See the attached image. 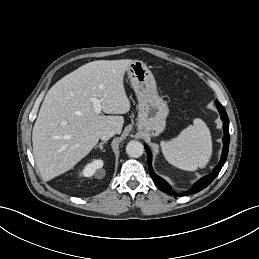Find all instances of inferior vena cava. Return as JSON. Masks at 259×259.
Wrapping results in <instances>:
<instances>
[{
    "mask_svg": "<svg viewBox=\"0 0 259 259\" xmlns=\"http://www.w3.org/2000/svg\"><path fill=\"white\" fill-rule=\"evenodd\" d=\"M115 134H116L115 130H113V129H107V130H105V131L101 134L100 138H101V140L106 141V140L110 139V138H111L113 135H115Z\"/></svg>",
    "mask_w": 259,
    "mask_h": 259,
    "instance_id": "inferior-vena-cava-1",
    "label": "inferior vena cava"
}]
</instances>
